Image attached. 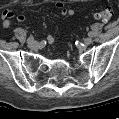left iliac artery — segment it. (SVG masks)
I'll use <instances>...</instances> for the list:
<instances>
[{"mask_svg":"<svg viewBox=\"0 0 119 119\" xmlns=\"http://www.w3.org/2000/svg\"><path fill=\"white\" fill-rule=\"evenodd\" d=\"M88 35H89V36H92V33H91V32H89V33H88Z\"/></svg>","mask_w":119,"mask_h":119,"instance_id":"1","label":"left iliac artery"}]
</instances>
